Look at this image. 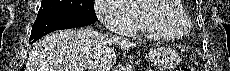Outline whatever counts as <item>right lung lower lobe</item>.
I'll return each instance as SVG.
<instances>
[{"label": "right lung lower lobe", "instance_id": "obj_1", "mask_svg": "<svg viewBox=\"0 0 230 71\" xmlns=\"http://www.w3.org/2000/svg\"><path fill=\"white\" fill-rule=\"evenodd\" d=\"M97 18L85 15H57L37 17L32 26L30 42L33 43L49 32L93 24Z\"/></svg>", "mask_w": 230, "mask_h": 71}]
</instances>
